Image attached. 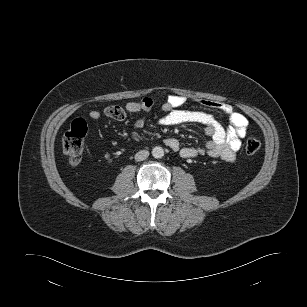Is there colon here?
I'll return each instance as SVG.
<instances>
[{"mask_svg":"<svg viewBox=\"0 0 307 307\" xmlns=\"http://www.w3.org/2000/svg\"><path fill=\"white\" fill-rule=\"evenodd\" d=\"M86 134V122L83 119H76L72 122L70 129L63 137V151L74 165L80 163L82 159ZM260 147L261 144L259 140L249 138L245 143V152L249 155H253L259 151Z\"/></svg>","mask_w":307,"mask_h":307,"instance_id":"1","label":"colon"}]
</instances>
